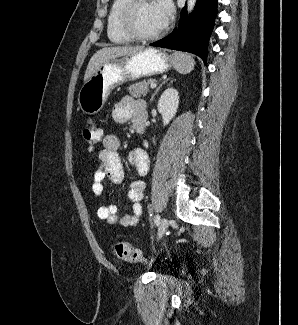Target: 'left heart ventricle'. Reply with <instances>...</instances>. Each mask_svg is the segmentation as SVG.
Here are the masks:
<instances>
[{
  "label": "left heart ventricle",
  "instance_id": "obj_1",
  "mask_svg": "<svg viewBox=\"0 0 298 325\" xmlns=\"http://www.w3.org/2000/svg\"><path fill=\"white\" fill-rule=\"evenodd\" d=\"M129 24L139 35H151L164 27L161 4L155 0H145L132 11Z\"/></svg>",
  "mask_w": 298,
  "mask_h": 325
}]
</instances>
